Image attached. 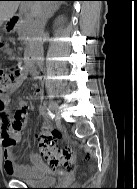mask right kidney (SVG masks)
<instances>
[{
    "instance_id": "ca27d5eb",
    "label": "right kidney",
    "mask_w": 137,
    "mask_h": 189,
    "mask_svg": "<svg viewBox=\"0 0 137 189\" xmlns=\"http://www.w3.org/2000/svg\"><path fill=\"white\" fill-rule=\"evenodd\" d=\"M62 22H64V17H63V16L58 17V18L56 19V21H55V24L58 25V24H60V23H62Z\"/></svg>"
}]
</instances>
